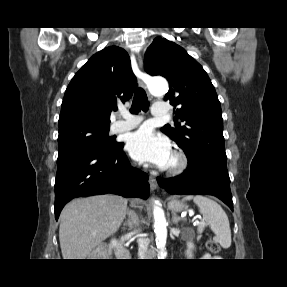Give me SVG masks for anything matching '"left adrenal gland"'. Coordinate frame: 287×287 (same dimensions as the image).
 <instances>
[{
  "label": "left adrenal gland",
  "mask_w": 287,
  "mask_h": 287,
  "mask_svg": "<svg viewBox=\"0 0 287 287\" xmlns=\"http://www.w3.org/2000/svg\"><path fill=\"white\" fill-rule=\"evenodd\" d=\"M181 220H182V218L177 216V214L175 212L172 213V223L178 224V222L181 221Z\"/></svg>",
  "instance_id": "obj_1"
}]
</instances>
